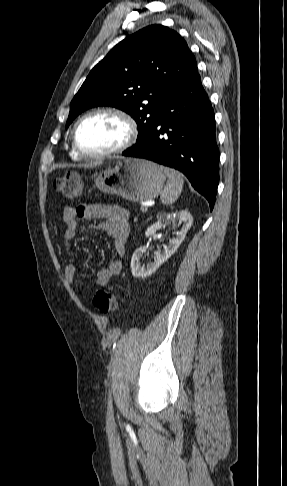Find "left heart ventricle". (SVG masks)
Segmentation results:
<instances>
[{
    "instance_id": "1",
    "label": "left heart ventricle",
    "mask_w": 287,
    "mask_h": 486,
    "mask_svg": "<svg viewBox=\"0 0 287 486\" xmlns=\"http://www.w3.org/2000/svg\"><path fill=\"white\" fill-rule=\"evenodd\" d=\"M124 123L116 116L100 114L85 120L78 130V143L88 152H103L123 142Z\"/></svg>"
}]
</instances>
